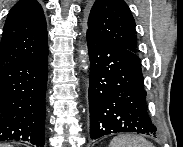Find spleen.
<instances>
[{
	"instance_id": "spleen-1",
	"label": "spleen",
	"mask_w": 183,
	"mask_h": 147,
	"mask_svg": "<svg viewBox=\"0 0 183 147\" xmlns=\"http://www.w3.org/2000/svg\"><path fill=\"white\" fill-rule=\"evenodd\" d=\"M109 147H154L152 143L140 136L119 135L114 137Z\"/></svg>"
}]
</instances>
